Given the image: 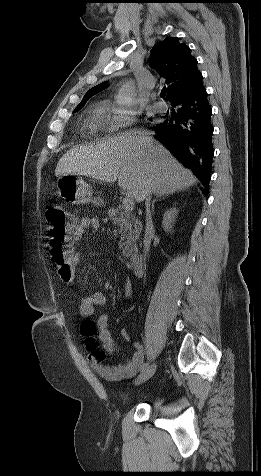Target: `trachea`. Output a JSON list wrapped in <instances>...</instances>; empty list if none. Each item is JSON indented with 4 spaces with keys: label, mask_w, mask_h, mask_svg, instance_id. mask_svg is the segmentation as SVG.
Here are the masks:
<instances>
[{
    "label": "trachea",
    "mask_w": 261,
    "mask_h": 476,
    "mask_svg": "<svg viewBox=\"0 0 261 476\" xmlns=\"http://www.w3.org/2000/svg\"><path fill=\"white\" fill-rule=\"evenodd\" d=\"M160 95L162 98H164L166 96V91H162Z\"/></svg>",
    "instance_id": "1"
}]
</instances>
